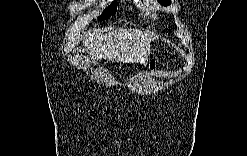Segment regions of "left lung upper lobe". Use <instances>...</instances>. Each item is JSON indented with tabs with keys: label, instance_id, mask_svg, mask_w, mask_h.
<instances>
[{
	"label": "left lung upper lobe",
	"instance_id": "left-lung-upper-lobe-1",
	"mask_svg": "<svg viewBox=\"0 0 247 156\" xmlns=\"http://www.w3.org/2000/svg\"><path fill=\"white\" fill-rule=\"evenodd\" d=\"M159 1L166 6L171 4L170 0H159Z\"/></svg>",
	"mask_w": 247,
	"mask_h": 156
}]
</instances>
